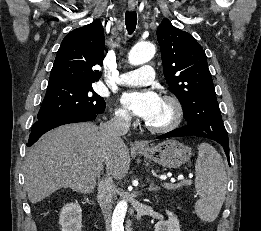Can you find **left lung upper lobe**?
<instances>
[{"label": "left lung upper lobe", "instance_id": "1", "mask_svg": "<svg viewBox=\"0 0 261 231\" xmlns=\"http://www.w3.org/2000/svg\"><path fill=\"white\" fill-rule=\"evenodd\" d=\"M164 76L182 104L188 126L209 138H227L207 57L192 35L163 19L157 29Z\"/></svg>", "mask_w": 261, "mask_h": 231}]
</instances>
